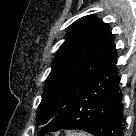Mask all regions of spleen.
Returning a JSON list of instances; mask_svg holds the SVG:
<instances>
[{"instance_id":"obj_1","label":"spleen","mask_w":136,"mask_h":136,"mask_svg":"<svg viewBox=\"0 0 136 136\" xmlns=\"http://www.w3.org/2000/svg\"><path fill=\"white\" fill-rule=\"evenodd\" d=\"M73 136H84V135H81V134H75V135H73Z\"/></svg>"}]
</instances>
